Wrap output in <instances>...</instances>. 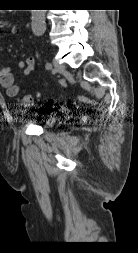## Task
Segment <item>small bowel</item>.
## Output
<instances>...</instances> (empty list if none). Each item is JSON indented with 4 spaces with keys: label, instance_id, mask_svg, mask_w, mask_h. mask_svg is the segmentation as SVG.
<instances>
[{
    "label": "small bowel",
    "instance_id": "1",
    "mask_svg": "<svg viewBox=\"0 0 138 253\" xmlns=\"http://www.w3.org/2000/svg\"><path fill=\"white\" fill-rule=\"evenodd\" d=\"M35 67V58L27 57L24 61H18L13 67L0 65V85L5 89L8 97H15L20 92V87L15 81L14 69L23 70V74L28 76Z\"/></svg>",
    "mask_w": 138,
    "mask_h": 253
}]
</instances>
